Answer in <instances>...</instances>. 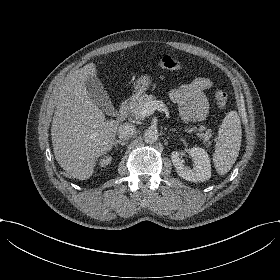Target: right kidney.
Here are the masks:
<instances>
[{
	"mask_svg": "<svg viewBox=\"0 0 280 280\" xmlns=\"http://www.w3.org/2000/svg\"><path fill=\"white\" fill-rule=\"evenodd\" d=\"M112 161H113L112 154H105V155H103L102 157L99 158L98 167L99 168H106L109 165H111Z\"/></svg>",
	"mask_w": 280,
	"mask_h": 280,
	"instance_id": "right-kidney-1",
	"label": "right kidney"
}]
</instances>
